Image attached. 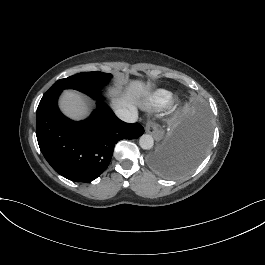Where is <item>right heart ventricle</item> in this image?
<instances>
[{"mask_svg": "<svg viewBox=\"0 0 265 265\" xmlns=\"http://www.w3.org/2000/svg\"><path fill=\"white\" fill-rule=\"evenodd\" d=\"M169 101V94L166 92H158L153 99V102L157 105L164 106Z\"/></svg>", "mask_w": 265, "mask_h": 265, "instance_id": "right-heart-ventricle-1", "label": "right heart ventricle"}]
</instances>
